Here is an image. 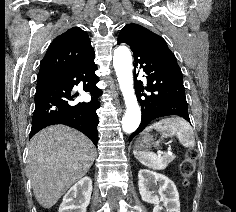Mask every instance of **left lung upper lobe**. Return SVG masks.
Returning a JSON list of instances; mask_svg holds the SVG:
<instances>
[{
	"instance_id": "1",
	"label": "left lung upper lobe",
	"mask_w": 236,
	"mask_h": 212,
	"mask_svg": "<svg viewBox=\"0 0 236 212\" xmlns=\"http://www.w3.org/2000/svg\"><path fill=\"white\" fill-rule=\"evenodd\" d=\"M121 32H127L132 35H135L138 37H143V38L158 39V40L163 41L166 44L165 40L161 36L150 31L149 29H147L141 25L135 24V23L127 24L125 27L122 28L120 33Z\"/></svg>"
}]
</instances>
